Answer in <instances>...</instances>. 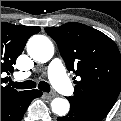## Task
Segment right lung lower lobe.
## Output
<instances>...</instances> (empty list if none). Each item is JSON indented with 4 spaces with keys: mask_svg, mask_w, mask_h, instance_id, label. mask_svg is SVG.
I'll return each instance as SVG.
<instances>
[{
    "mask_svg": "<svg viewBox=\"0 0 121 121\" xmlns=\"http://www.w3.org/2000/svg\"><path fill=\"white\" fill-rule=\"evenodd\" d=\"M41 95L39 90H27L6 99L1 103V121H21L31 101Z\"/></svg>",
    "mask_w": 121,
    "mask_h": 121,
    "instance_id": "98d812e1",
    "label": "right lung lower lobe"
}]
</instances>
